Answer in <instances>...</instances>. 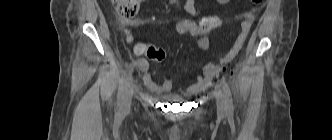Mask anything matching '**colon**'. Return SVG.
I'll list each match as a JSON object with an SVG mask.
<instances>
[{
	"label": "colon",
	"mask_w": 332,
	"mask_h": 140,
	"mask_svg": "<svg viewBox=\"0 0 332 140\" xmlns=\"http://www.w3.org/2000/svg\"><path fill=\"white\" fill-rule=\"evenodd\" d=\"M141 0H111L117 14L124 19L133 18L140 6ZM265 0H251L255 5L263 3ZM221 19L216 16H206L200 21L181 20L175 23L174 30L177 34H189L191 36H207L214 29L221 26ZM138 54L145 55L149 59L162 61L165 58V51L162 48L152 45H138Z\"/></svg>",
	"instance_id": "1"
}]
</instances>
